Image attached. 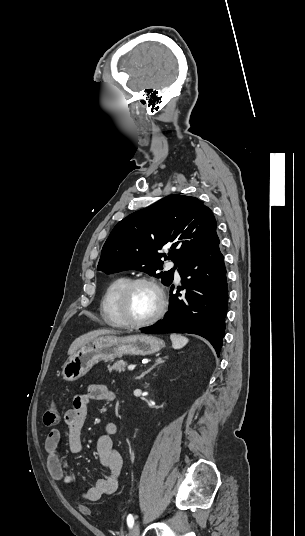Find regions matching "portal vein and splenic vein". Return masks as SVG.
Masks as SVG:
<instances>
[{"label": "portal vein and splenic vein", "mask_w": 305, "mask_h": 536, "mask_svg": "<svg viewBox=\"0 0 305 536\" xmlns=\"http://www.w3.org/2000/svg\"><path fill=\"white\" fill-rule=\"evenodd\" d=\"M135 366H128V370H134Z\"/></svg>", "instance_id": "obj_1"}]
</instances>
